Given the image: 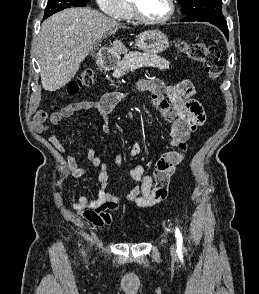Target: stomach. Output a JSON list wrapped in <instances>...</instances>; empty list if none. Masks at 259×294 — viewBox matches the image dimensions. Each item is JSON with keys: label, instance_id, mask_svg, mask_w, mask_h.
I'll return each instance as SVG.
<instances>
[{"label": "stomach", "instance_id": "1", "mask_svg": "<svg viewBox=\"0 0 259 294\" xmlns=\"http://www.w3.org/2000/svg\"><path fill=\"white\" fill-rule=\"evenodd\" d=\"M136 46L145 53L158 54L169 47V40L161 31L149 30L137 37Z\"/></svg>", "mask_w": 259, "mask_h": 294}]
</instances>
